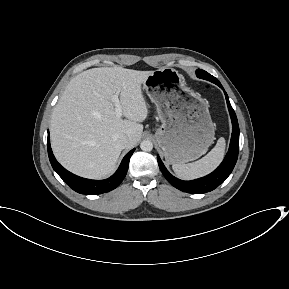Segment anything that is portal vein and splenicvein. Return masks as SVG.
I'll use <instances>...</instances> for the list:
<instances>
[{
    "label": "portal vein and splenic vein",
    "mask_w": 289,
    "mask_h": 289,
    "mask_svg": "<svg viewBox=\"0 0 289 289\" xmlns=\"http://www.w3.org/2000/svg\"><path fill=\"white\" fill-rule=\"evenodd\" d=\"M112 102L115 105V114L117 117H121L122 116V107L118 98V95L115 94L112 96Z\"/></svg>",
    "instance_id": "1"
}]
</instances>
